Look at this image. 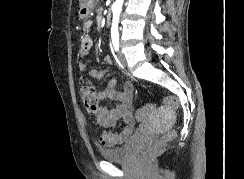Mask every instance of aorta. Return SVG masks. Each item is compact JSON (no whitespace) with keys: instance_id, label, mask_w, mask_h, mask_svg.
Returning a JSON list of instances; mask_svg holds the SVG:
<instances>
[{"instance_id":"762f6f07","label":"aorta","mask_w":244,"mask_h":179,"mask_svg":"<svg viewBox=\"0 0 244 179\" xmlns=\"http://www.w3.org/2000/svg\"><path fill=\"white\" fill-rule=\"evenodd\" d=\"M123 2L124 0H116L115 2L111 32H113V30H118L119 18H120Z\"/></svg>"}]
</instances>
